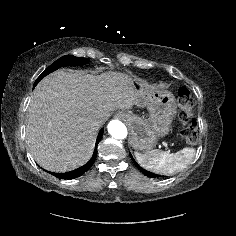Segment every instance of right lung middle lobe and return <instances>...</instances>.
I'll return each instance as SVG.
<instances>
[{
    "instance_id": "obj_1",
    "label": "right lung middle lobe",
    "mask_w": 236,
    "mask_h": 236,
    "mask_svg": "<svg viewBox=\"0 0 236 236\" xmlns=\"http://www.w3.org/2000/svg\"><path fill=\"white\" fill-rule=\"evenodd\" d=\"M89 60L87 58H79L72 55H65L58 60H56L51 66H49L35 81L34 87L39 83L41 79H43L49 73L55 71L60 67L65 66H80L88 63Z\"/></svg>"
}]
</instances>
